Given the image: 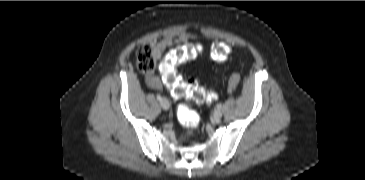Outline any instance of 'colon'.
<instances>
[{
  "label": "colon",
  "mask_w": 365,
  "mask_h": 180,
  "mask_svg": "<svg viewBox=\"0 0 365 180\" xmlns=\"http://www.w3.org/2000/svg\"><path fill=\"white\" fill-rule=\"evenodd\" d=\"M202 51L199 43H187L178 46L170 51L169 55L161 63V73L163 82L171 90L173 95L179 98L193 99L198 103L210 104L217 98L214 90H205L196 80L189 79L183 81L177 73V66L195 59ZM228 50L225 43L221 40H215L211 46V57L215 61H224ZM136 63L138 69L149 74L156 67V56L154 50L148 46H140L136 52ZM239 76L234 74L229 80V89L236 88ZM177 115L180 123L187 129V135H192L197 129L200 117L185 102H182L177 109Z\"/></svg>",
  "instance_id": "obj_1"
}]
</instances>
